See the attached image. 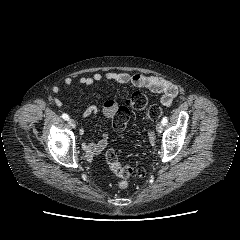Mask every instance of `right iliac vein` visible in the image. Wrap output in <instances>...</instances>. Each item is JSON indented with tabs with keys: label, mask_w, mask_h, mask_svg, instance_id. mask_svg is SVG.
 <instances>
[{
	"label": "right iliac vein",
	"mask_w": 240,
	"mask_h": 240,
	"mask_svg": "<svg viewBox=\"0 0 240 240\" xmlns=\"http://www.w3.org/2000/svg\"><path fill=\"white\" fill-rule=\"evenodd\" d=\"M68 123L72 128H76V123L73 119H68Z\"/></svg>",
	"instance_id": "right-iliac-vein-1"
}]
</instances>
